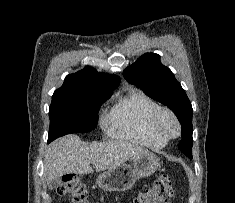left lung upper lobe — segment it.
Returning <instances> with one entry per match:
<instances>
[{"instance_id":"obj_1","label":"left lung upper lobe","mask_w":235,"mask_h":203,"mask_svg":"<svg viewBox=\"0 0 235 203\" xmlns=\"http://www.w3.org/2000/svg\"><path fill=\"white\" fill-rule=\"evenodd\" d=\"M124 78L140 87L144 93L169 107L181 123V133L186 136L180 141L178 148L192 159V105L168 67L160 62V56L146 53L123 72Z\"/></svg>"}]
</instances>
